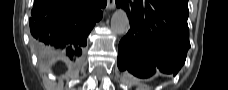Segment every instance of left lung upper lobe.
<instances>
[{
  "label": "left lung upper lobe",
  "instance_id": "5c2ea615",
  "mask_svg": "<svg viewBox=\"0 0 228 90\" xmlns=\"http://www.w3.org/2000/svg\"><path fill=\"white\" fill-rule=\"evenodd\" d=\"M183 9L188 11V6L187 5H184L183 6Z\"/></svg>",
  "mask_w": 228,
  "mask_h": 90
}]
</instances>
